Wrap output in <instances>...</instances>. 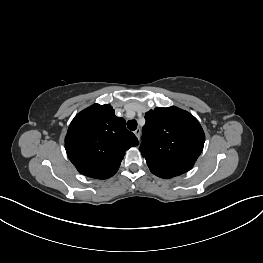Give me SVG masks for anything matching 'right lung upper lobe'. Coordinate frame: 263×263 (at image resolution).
Returning <instances> with one entry per match:
<instances>
[{
	"instance_id": "cb5924a9",
	"label": "right lung upper lobe",
	"mask_w": 263,
	"mask_h": 263,
	"mask_svg": "<svg viewBox=\"0 0 263 263\" xmlns=\"http://www.w3.org/2000/svg\"><path fill=\"white\" fill-rule=\"evenodd\" d=\"M137 145L136 136L109 104H94L77 114L65 137L70 161L81 174L97 179L113 176L126 150Z\"/></svg>"
}]
</instances>
